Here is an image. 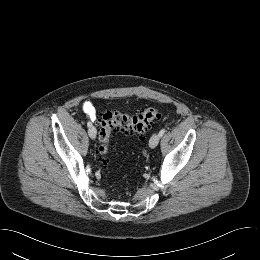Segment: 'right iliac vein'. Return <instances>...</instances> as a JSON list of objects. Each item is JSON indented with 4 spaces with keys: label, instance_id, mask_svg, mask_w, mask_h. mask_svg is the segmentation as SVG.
Here are the masks:
<instances>
[{
    "label": "right iliac vein",
    "instance_id": "1",
    "mask_svg": "<svg viewBox=\"0 0 260 260\" xmlns=\"http://www.w3.org/2000/svg\"><path fill=\"white\" fill-rule=\"evenodd\" d=\"M88 134L90 138L95 139L97 134L96 128L94 126L89 127Z\"/></svg>",
    "mask_w": 260,
    "mask_h": 260
}]
</instances>
